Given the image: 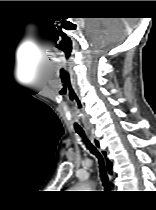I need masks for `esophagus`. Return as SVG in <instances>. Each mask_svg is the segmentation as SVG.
Listing matches in <instances>:
<instances>
[{
	"mask_svg": "<svg viewBox=\"0 0 156 210\" xmlns=\"http://www.w3.org/2000/svg\"><path fill=\"white\" fill-rule=\"evenodd\" d=\"M90 139H91L93 145L99 150L100 154L102 155V157L104 159V163H105V167H106L108 177H109L110 180H112V178H113V175H112L113 163H112V160L108 156L107 150L100 143V140L98 139V137L96 135L91 134Z\"/></svg>",
	"mask_w": 156,
	"mask_h": 210,
	"instance_id": "esophagus-1",
	"label": "esophagus"
}]
</instances>
